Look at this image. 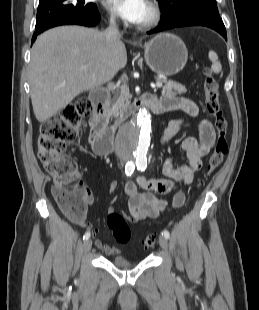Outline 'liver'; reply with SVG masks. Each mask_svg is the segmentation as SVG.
I'll return each instance as SVG.
<instances>
[{"label":"liver","mask_w":259,"mask_h":310,"mask_svg":"<svg viewBox=\"0 0 259 310\" xmlns=\"http://www.w3.org/2000/svg\"><path fill=\"white\" fill-rule=\"evenodd\" d=\"M126 64L124 43H107L102 31L61 26L44 32L32 47L29 67L36 119L47 121L80 93L110 81Z\"/></svg>","instance_id":"obj_1"}]
</instances>
